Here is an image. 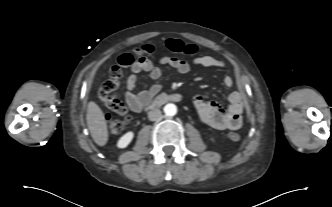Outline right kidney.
<instances>
[{
	"mask_svg": "<svg viewBox=\"0 0 332 207\" xmlns=\"http://www.w3.org/2000/svg\"><path fill=\"white\" fill-rule=\"evenodd\" d=\"M134 137V133L133 132H127L126 134H124L118 141L117 143V147L118 148H126L130 142L132 141Z\"/></svg>",
	"mask_w": 332,
	"mask_h": 207,
	"instance_id": "right-kidney-1",
	"label": "right kidney"
}]
</instances>
